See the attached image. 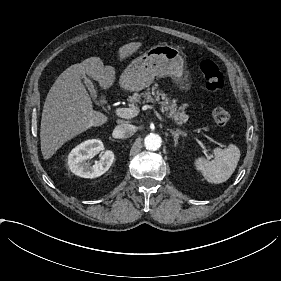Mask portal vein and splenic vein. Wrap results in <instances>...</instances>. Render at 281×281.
Instances as JSON below:
<instances>
[{
  "label": "portal vein and splenic vein",
  "instance_id": "portal-vein-and-splenic-vein-1",
  "mask_svg": "<svg viewBox=\"0 0 281 281\" xmlns=\"http://www.w3.org/2000/svg\"><path fill=\"white\" fill-rule=\"evenodd\" d=\"M143 111H145L146 109L147 110H150V111H152V113H154V116H156V118L158 119V120H162V117H161V115H157V111H155V109H153L152 107H149V106H146V105H144V106H142V108H141ZM139 113H140V107L139 106H130L129 108H120V109H118L117 110V114H118V116H120V117H122V118H125V119H131V118H134V117H136V116H138L139 115ZM169 124H171V123H169ZM172 125V124H171ZM175 128H176V126H175ZM177 129H178V127H177ZM181 130H183V129H181ZM185 131V130H184ZM188 131V130H187ZM192 131V133L194 132V131H200L199 129L197 130H194V129H192L191 130ZM190 132V131H189ZM201 133H203L204 134V137L206 138V139H208V140H210V141H212L213 143H216L219 147H223L224 145L222 144L221 145V143L220 142H218L217 140H213V138L212 137H208L207 136V134L204 132V131H200ZM196 134H193L192 136L195 138L196 136H195ZM195 140L196 141H200L197 137L195 138ZM199 145H201L200 147L202 148L201 150V153H202V155L203 156H205L206 157V161H215V159L213 158H211V152L210 151H208L209 149L207 148H205L204 146H203V144H202V142L200 141L199 143H198ZM207 150V151H206Z\"/></svg>",
  "mask_w": 281,
  "mask_h": 281
}]
</instances>
